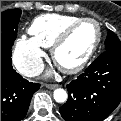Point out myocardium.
I'll use <instances>...</instances> for the list:
<instances>
[{"label":"myocardium","instance_id":"myocardium-1","mask_svg":"<svg viewBox=\"0 0 121 121\" xmlns=\"http://www.w3.org/2000/svg\"><path fill=\"white\" fill-rule=\"evenodd\" d=\"M85 22H91L93 23L96 28H97V38L92 46V48L88 51V53L85 55V57L78 62L75 65L72 66H62L59 64L58 59H57V52L59 48L69 39L71 34L74 32L75 29H77L81 24ZM102 41V27L101 24L93 18L89 17H83L78 19L77 21L73 22L69 26H67L56 38V40L53 42L51 46V56L52 60L55 63V65L63 72L66 74H75L80 72L82 69H84L87 64L90 62V60L93 58L95 53L97 52L100 44Z\"/></svg>","mask_w":121,"mask_h":121}]
</instances>
